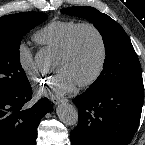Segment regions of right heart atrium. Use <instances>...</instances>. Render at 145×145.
Masks as SVG:
<instances>
[{"label":"right heart atrium","instance_id":"d8ad5b80","mask_svg":"<svg viewBox=\"0 0 145 145\" xmlns=\"http://www.w3.org/2000/svg\"><path fill=\"white\" fill-rule=\"evenodd\" d=\"M17 61L20 69L30 78L39 80L41 77V70L36 65L34 53L31 47L25 42L19 43L17 47Z\"/></svg>","mask_w":145,"mask_h":145}]
</instances>
